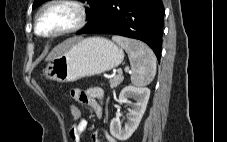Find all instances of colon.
<instances>
[{"label": "colon", "mask_w": 227, "mask_h": 142, "mask_svg": "<svg viewBox=\"0 0 227 142\" xmlns=\"http://www.w3.org/2000/svg\"><path fill=\"white\" fill-rule=\"evenodd\" d=\"M69 111H70V114L72 116V120H73L74 124H79L85 119L81 110L77 106L70 105Z\"/></svg>", "instance_id": "1"}]
</instances>
